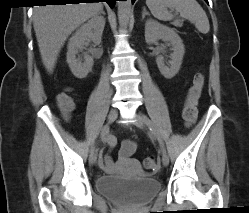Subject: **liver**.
<instances>
[{
	"instance_id": "6515ba94",
	"label": "liver",
	"mask_w": 249,
	"mask_h": 213,
	"mask_svg": "<svg viewBox=\"0 0 249 213\" xmlns=\"http://www.w3.org/2000/svg\"><path fill=\"white\" fill-rule=\"evenodd\" d=\"M102 8L101 2L34 6L33 27L42 62L49 73L53 72L68 36Z\"/></svg>"
}]
</instances>
